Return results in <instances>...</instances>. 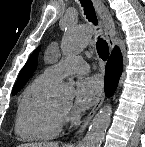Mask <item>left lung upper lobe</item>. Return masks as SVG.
Here are the masks:
<instances>
[{"label":"left lung upper lobe","instance_id":"5c2ea615","mask_svg":"<svg viewBox=\"0 0 145 147\" xmlns=\"http://www.w3.org/2000/svg\"><path fill=\"white\" fill-rule=\"evenodd\" d=\"M40 48H37L33 54L30 56L28 61L26 62L25 66L22 68L18 80L12 90V94L15 95L28 81L31 77L32 73L36 69L37 65V55Z\"/></svg>","mask_w":145,"mask_h":147}]
</instances>
